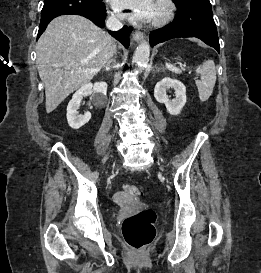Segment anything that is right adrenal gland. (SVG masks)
Returning <instances> with one entry per match:
<instances>
[{
    "mask_svg": "<svg viewBox=\"0 0 261 273\" xmlns=\"http://www.w3.org/2000/svg\"><path fill=\"white\" fill-rule=\"evenodd\" d=\"M113 60H109L106 65L103 66V68L106 70V71H110V63H112Z\"/></svg>",
    "mask_w": 261,
    "mask_h": 273,
    "instance_id": "obj_1",
    "label": "right adrenal gland"
}]
</instances>
